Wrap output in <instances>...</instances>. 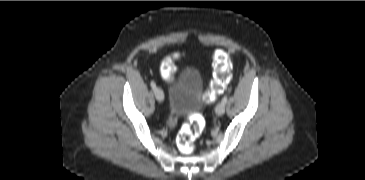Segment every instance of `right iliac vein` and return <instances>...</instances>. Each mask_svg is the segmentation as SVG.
<instances>
[{
    "mask_svg": "<svg viewBox=\"0 0 365 180\" xmlns=\"http://www.w3.org/2000/svg\"><path fill=\"white\" fill-rule=\"evenodd\" d=\"M154 94H155L157 101H159V102L164 101V93L160 88H155Z\"/></svg>",
    "mask_w": 365,
    "mask_h": 180,
    "instance_id": "1",
    "label": "right iliac vein"
}]
</instances>
